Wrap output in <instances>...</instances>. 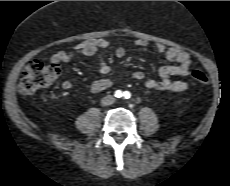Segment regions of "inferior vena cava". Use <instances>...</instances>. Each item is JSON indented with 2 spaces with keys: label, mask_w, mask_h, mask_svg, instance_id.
Instances as JSON below:
<instances>
[{
  "label": "inferior vena cava",
  "mask_w": 230,
  "mask_h": 186,
  "mask_svg": "<svg viewBox=\"0 0 230 186\" xmlns=\"http://www.w3.org/2000/svg\"><path fill=\"white\" fill-rule=\"evenodd\" d=\"M114 101H115V98L112 95H107L102 98L101 104L104 106H107V105H111L112 103H114Z\"/></svg>",
  "instance_id": "602c4592"
}]
</instances>
